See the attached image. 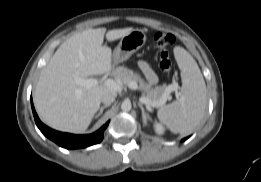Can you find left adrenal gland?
<instances>
[{"label": "left adrenal gland", "mask_w": 261, "mask_h": 182, "mask_svg": "<svg viewBox=\"0 0 261 182\" xmlns=\"http://www.w3.org/2000/svg\"><path fill=\"white\" fill-rule=\"evenodd\" d=\"M140 109H141V113H142V118H143V122L146 123L147 119L150 118V115L148 112L145 111L144 107L142 106L141 103H138Z\"/></svg>", "instance_id": "left-adrenal-gland-1"}]
</instances>
